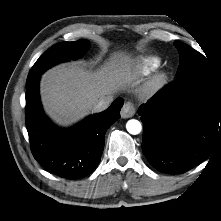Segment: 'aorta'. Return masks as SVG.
Instances as JSON below:
<instances>
[{
	"label": "aorta",
	"instance_id": "obj_1",
	"mask_svg": "<svg viewBox=\"0 0 221 221\" xmlns=\"http://www.w3.org/2000/svg\"><path fill=\"white\" fill-rule=\"evenodd\" d=\"M127 131L132 135H137L142 130V125L138 120L131 119L126 124Z\"/></svg>",
	"mask_w": 221,
	"mask_h": 221
}]
</instances>
